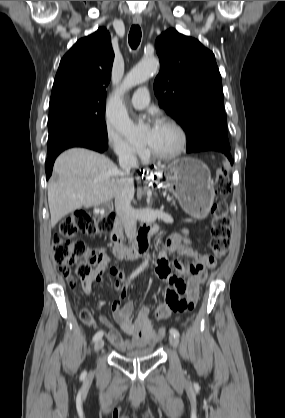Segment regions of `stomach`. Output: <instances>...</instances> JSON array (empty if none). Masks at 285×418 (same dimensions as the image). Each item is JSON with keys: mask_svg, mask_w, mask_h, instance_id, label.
<instances>
[{"mask_svg": "<svg viewBox=\"0 0 285 418\" xmlns=\"http://www.w3.org/2000/svg\"><path fill=\"white\" fill-rule=\"evenodd\" d=\"M156 182L170 191L190 216L203 219L208 215L214 191L204 162L190 157L176 159L156 173Z\"/></svg>", "mask_w": 285, "mask_h": 418, "instance_id": "obj_1", "label": "stomach"}]
</instances>
